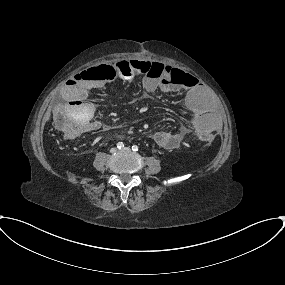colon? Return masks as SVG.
Returning <instances> with one entry per match:
<instances>
[{
  "label": "colon",
  "mask_w": 285,
  "mask_h": 285,
  "mask_svg": "<svg viewBox=\"0 0 285 285\" xmlns=\"http://www.w3.org/2000/svg\"><path fill=\"white\" fill-rule=\"evenodd\" d=\"M121 75L132 77L143 75L154 78L168 87L175 85L188 84V77L180 70L166 67L157 62L145 61H117L98 68H90L82 71L80 76L88 80L101 79L106 74ZM54 123L57 129L64 133L70 134L75 131V125L72 123L69 114L63 108H58L54 113ZM198 139L202 143H209L211 136L209 134H201Z\"/></svg>",
  "instance_id": "colon-1"
}]
</instances>
